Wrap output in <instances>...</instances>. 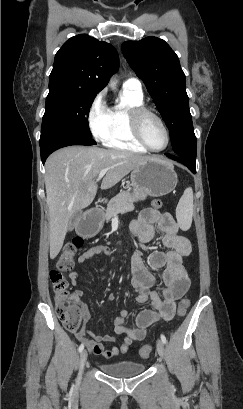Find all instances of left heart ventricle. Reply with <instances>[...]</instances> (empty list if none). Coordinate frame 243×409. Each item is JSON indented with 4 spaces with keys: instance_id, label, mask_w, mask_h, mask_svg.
Here are the masks:
<instances>
[{
    "instance_id": "left-heart-ventricle-1",
    "label": "left heart ventricle",
    "mask_w": 243,
    "mask_h": 409,
    "mask_svg": "<svg viewBox=\"0 0 243 409\" xmlns=\"http://www.w3.org/2000/svg\"><path fill=\"white\" fill-rule=\"evenodd\" d=\"M142 132L147 143L160 149L166 144V134L161 124L152 116H146L142 121Z\"/></svg>"
}]
</instances>
